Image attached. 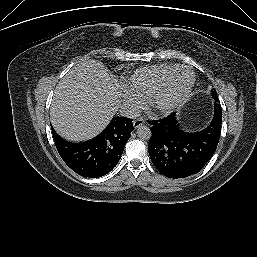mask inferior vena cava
Listing matches in <instances>:
<instances>
[{"label": "inferior vena cava", "instance_id": "obj_1", "mask_svg": "<svg viewBox=\"0 0 257 257\" xmlns=\"http://www.w3.org/2000/svg\"><path fill=\"white\" fill-rule=\"evenodd\" d=\"M120 114L123 117L135 119L140 115V111L134 106L124 104L121 106Z\"/></svg>", "mask_w": 257, "mask_h": 257}]
</instances>
